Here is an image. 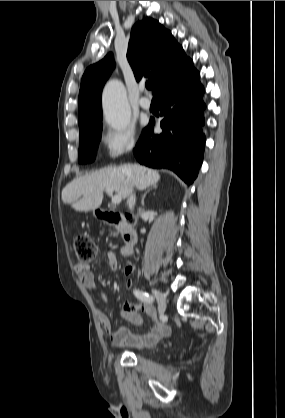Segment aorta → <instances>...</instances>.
I'll use <instances>...</instances> for the list:
<instances>
[{
	"instance_id": "1",
	"label": "aorta",
	"mask_w": 285,
	"mask_h": 418,
	"mask_svg": "<svg viewBox=\"0 0 285 418\" xmlns=\"http://www.w3.org/2000/svg\"><path fill=\"white\" fill-rule=\"evenodd\" d=\"M102 103L107 125L118 131L125 130L130 123L131 113L125 87L119 80H110L106 84Z\"/></svg>"
}]
</instances>
